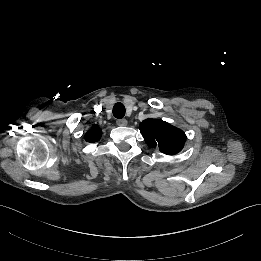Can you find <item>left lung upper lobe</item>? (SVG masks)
Masks as SVG:
<instances>
[{
    "mask_svg": "<svg viewBox=\"0 0 261 261\" xmlns=\"http://www.w3.org/2000/svg\"><path fill=\"white\" fill-rule=\"evenodd\" d=\"M145 142L151 148H159L165 154L181 151L186 140L184 132L165 121L146 119L139 125Z\"/></svg>",
    "mask_w": 261,
    "mask_h": 261,
    "instance_id": "1",
    "label": "left lung upper lobe"
}]
</instances>
